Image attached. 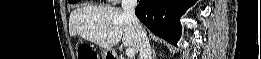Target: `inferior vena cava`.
I'll list each match as a JSON object with an SVG mask.
<instances>
[{"label":"inferior vena cava","instance_id":"obj_1","mask_svg":"<svg viewBox=\"0 0 261 59\" xmlns=\"http://www.w3.org/2000/svg\"><path fill=\"white\" fill-rule=\"evenodd\" d=\"M137 0H122L124 16L130 21L137 33L139 44V59H152V50L146 32L135 15Z\"/></svg>","mask_w":261,"mask_h":59}]
</instances>
